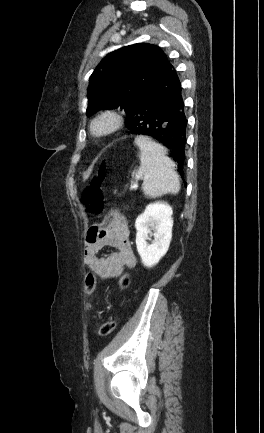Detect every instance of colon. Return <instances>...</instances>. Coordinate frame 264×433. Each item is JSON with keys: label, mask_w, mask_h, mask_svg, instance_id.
Wrapping results in <instances>:
<instances>
[{"label": "colon", "mask_w": 264, "mask_h": 433, "mask_svg": "<svg viewBox=\"0 0 264 433\" xmlns=\"http://www.w3.org/2000/svg\"><path fill=\"white\" fill-rule=\"evenodd\" d=\"M106 164L101 162L95 169L89 184L83 191L82 199L87 211L94 217H101L105 210V200L102 192V184L105 178ZM121 289H126L130 285V277L127 273L120 276L118 281ZM97 277L94 272H89L85 278L84 291L90 296L95 291ZM116 327L114 319H109L98 328V335L105 337L110 335Z\"/></svg>", "instance_id": "1"}]
</instances>
